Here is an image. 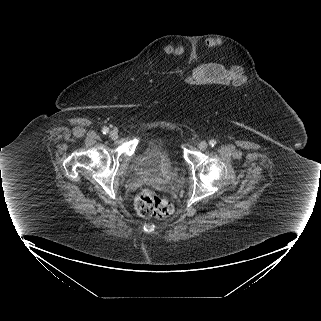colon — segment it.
Wrapping results in <instances>:
<instances>
[{"instance_id": "colon-1", "label": "colon", "mask_w": 321, "mask_h": 321, "mask_svg": "<svg viewBox=\"0 0 321 321\" xmlns=\"http://www.w3.org/2000/svg\"><path fill=\"white\" fill-rule=\"evenodd\" d=\"M168 52L180 55L183 51L180 47H170ZM134 205L137 213L145 218L163 219L169 217L173 212L172 204L158 197L150 189L141 190L135 198Z\"/></svg>"}]
</instances>
